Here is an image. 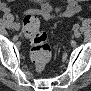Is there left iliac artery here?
<instances>
[{"instance_id":"44dca946","label":"left iliac artery","mask_w":91,"mask_h":91,"mask_svg":"<svg viewBox=\"0 0 91 91\" xmlns=\"http://www.w3.org/2000/svg\"><path fill=\"white\" fill-rule=\"evenodd\" d=\"M79 27H80V25L77 23V24H75V25L73 26V29H74V30H77Z\"/></svg>"}]
</instances>
